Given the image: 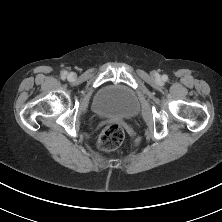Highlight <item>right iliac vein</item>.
Returning a JSON list of instances; mask_svg holds the SVG:
<instances>
[{
  "mask_svg": "<svg viewBox=\"0 0 222 222\" xmlns=\"http://www.w3.org/2000/svg\"><path fill=\"white\" fill-rule=\"evenodd\" d=\"M75 77V74L74 73H70L69 75H68V78L69 79H73Z\"/></svg>",
  "mask_w": 222,
  "mask_h": 222,
  "instance_id": "1",
  "label": "right iliac vein"
}]
</instances>
